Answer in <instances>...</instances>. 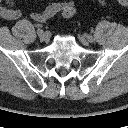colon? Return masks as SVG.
Masks as SVG:
<instances>
[{
	"label": "colon",
	"mask_w": 128,
	"mask_h": 128,
	"mask_svg": "<svg viewBox=\"0 0 128 128\" xmlns=\"http://www.w3.org/2000/svg\"><path fill=\"white\" fill-rule=\"evenodd\" d=\"M3 1V0H1ZM7 3H11L12 0H5ZM100 4L105 5L107 3V0H97ZM119 2L124 5L128 6V0H119ZM75 6L74 5H66L62 11L61 15L64 18H70L75 14Z\"/></svg>",
	"instance_id": "1"
}]
</instances>
